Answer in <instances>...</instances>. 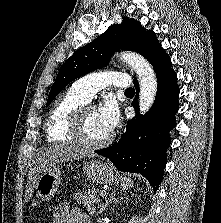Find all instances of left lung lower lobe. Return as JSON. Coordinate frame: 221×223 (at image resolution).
<instances>
[{
	"label": "left lung lower lobe",
	"mask_w": 221,
	"mask_h": 223,
	"mask_svg": "<svg viewBox=\"0 0 221 223\" xmlns=\"http://www.w3.org/2000/svg\"><path fill=\"white\" fill-rule=\"evenodd\" d=\"M158 80L157 94L146 115L139 114V84L134 80L136 97L132 106L137 116L127 122L118 142L95 153L109 158L120 171L144 175L157 191L166 165V150L170 145L169 132L175 127L179 89L177 76L171 68L170 57L163 51L153 64Z\"/></svg>",
	"instance_id": "obj_1"
}]
</instances>
